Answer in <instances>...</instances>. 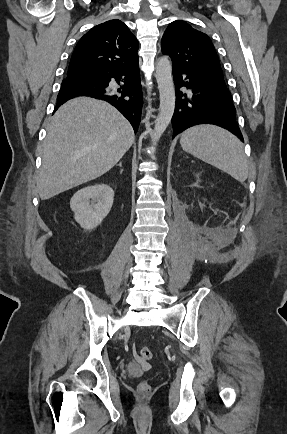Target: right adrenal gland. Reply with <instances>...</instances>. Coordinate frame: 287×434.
Segmentation results:
<instances>
[{
	"instance_id": "obj_1",
	"label": "right adrenal gland",
	"mask_w": 287,
	"mask_h": 434,
	"mask_svg": "<svg viewBox=\"0 0 287 434\" xmlns=\"http://www.w3.org/2000/svg\"><path fill=\"white\" fill-rule=\"evenodd\" d=\"M118 166H119V167H122V162H120V163L118 164ZM121 171H123V170L121 169Z\"/></svg>"
}]
</instances>
